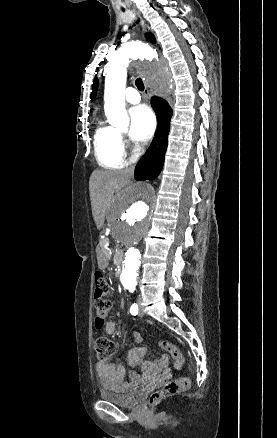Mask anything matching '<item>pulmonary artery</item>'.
Masks as SVG:
<instances>
[{
	"instance_id": "1",
	"label": "pulmonary artery",
	"mask_w": 277,
	"mask_h": 438,
	"mask_svg": "<svg viewBox=\"0 0 277 438\" xmlns=\"http://www.w3.org/2000/svg\"><path fill=\"white\" fill-rule=\"evenodd\" d=\"M139 93H140V90L138 87L126 88L125 89L126 95L124 97V100L130 104H138L140 102Z\"/></svg>"
}]
</instances>
